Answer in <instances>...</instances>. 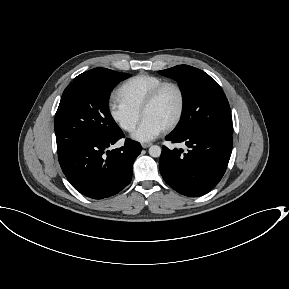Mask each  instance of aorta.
Instances as JSON below:
<instances>
[{"instance_id": "1", "label": "aorta", "mask_w": 289, "mask_h": 289, "mask_svg": "<svg viewBox=\"0 0 289 289\" xmlns=\"http://www.w3.org/2000/svg\"><path fill=\"white\" fill-rule=\"evenodd\" d=\"M161 147L157 145H153L149 148V155L152 157H159L161 155Z\"/></svg>"}]
</instances>
